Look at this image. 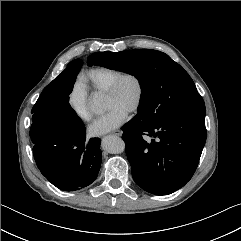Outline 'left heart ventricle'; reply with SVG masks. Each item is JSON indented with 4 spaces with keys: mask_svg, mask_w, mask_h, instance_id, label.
Masks as SVG:
<instances>
[{
    "mask_svg": "<svg viewBox=\"0 0 241 241\" xmlns=\"http://www.w3.org/2000/svg\"><path fill=\"white\" fill-rule=\"evenodd\" d=\"M137 97L136 82L128 78L124 80L114 95H105V107L109 110L112 107H119L126 112L133 106Z\"/></svg>",
    "mask_w": 241,
    "mask_h": 241,
    "instance_id": "b2bd125f",
    "label": "left heart ventricle"
}]
</instances>
